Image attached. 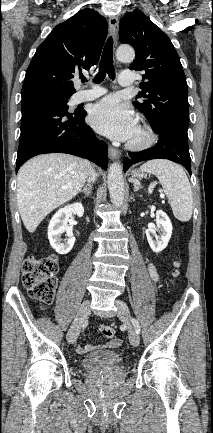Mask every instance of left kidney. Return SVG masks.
Listing matches in <instances>:
<instances>
[{
    "label": "left kidney",
    "mask_w": 213,
    "mask_h": 433,
    "mask_svg": "<svg viewBox=\"0 0 213 433\" xmlns=\"http://www.w3.org/2000/svg\"><path fill=\"white\" fill-rule=\"evenodd\" d=\"M157 231L160 232V235L156 234ZM145 233L151 249L156 253L161 252L167 247L171 238V220L165 212L158 210L156 212V226L153 228H148ZM153 236H155V239Z\"/></svg>",
    "instance_id": "5707ae66"
}]
</instances>
